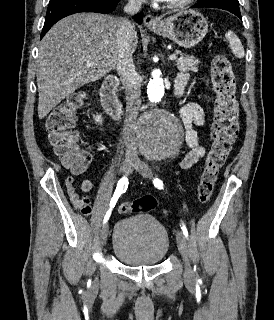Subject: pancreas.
Wrapping results in <instances>:
<instances>
[{"label": "pancreas", "mask_w": 274, "mask_h": 320, "mask_svg": "<svg viewBox=\"0 0 274 320\" xmlns=\"http://www.w3.org/2000/svg\"><path fill=\"white\" fill-rule=\"evenodd\" d=\"M177 54H179L180 58L176 60L175 66H177V70L180 72H195L198 68V60H195L193 56H186V54H182L180 50H176Z\"/></svg>", "instance_id": "obj_1"}]
</instances>
